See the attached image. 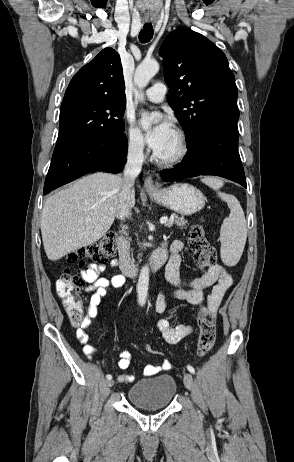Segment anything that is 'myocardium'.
Segmentation results:
<instances>
[{
  "mask_svg": "<svg viewBox=\"0 0 294 462\" xmlns=\"http://www.w3.org/2000/svg\"><path fill=\"white\" fill-rule=\"evenodd\" d=\"M175 133L179 140V152L170 158H161L156 155V160L160 165L171 167L183 162L189 154L190 146L186 133L181 129H176Z\"/></svg>",
  "mask_w": 294,
  "mask_h": 462,
  "instance_id": "f54148a6",
  "label": "myocardium"
}]
</instances>
